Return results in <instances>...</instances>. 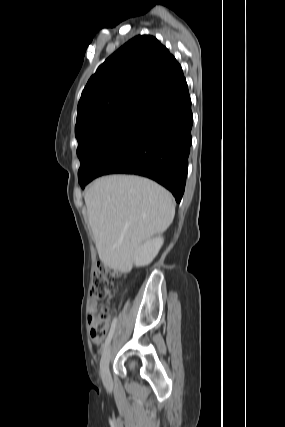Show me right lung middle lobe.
Masks as SVG:
<instances>
[{"mask_svg": "<svg viewBox=\"0 0 285 427\" xmlns=\"http://www.w3.org/2000/svg\"><path fill=\"white\" fill-rule=\"evenodd\" d=\"M143 108L142 105L126 106L94 119L75 131L78 140L77 155L81 163L79 183L91 177L99 162L124 135Z\"/></svg>", "mask_w": 285, "mask_h": 427, "instance_id": "right-lung-middle-lobe-1", "label": "right lung middle lobe"}]
</instances>
